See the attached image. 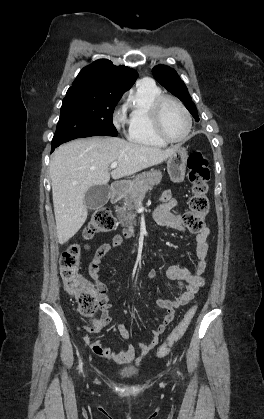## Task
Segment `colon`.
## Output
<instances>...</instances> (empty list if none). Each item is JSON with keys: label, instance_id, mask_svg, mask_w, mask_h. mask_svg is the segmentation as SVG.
<instances>
[{"label": "colon", "instance_id": "colon-1", "mask_svg": "<svg viewBox=\"0 0 264 419\" xmlns=\"http://www.w3.org/2000/svg\"><path fill=\"white\" fill-rule=\"evenodd\" d=\"M188 180L191 184V196L189 198V210L182 216V222L191 232H199L204 227V218L209 211V169L204 156L196 151L193 152L187 162ZM115 228V219L108 209H99L91 217L84 230L86 238H91L97 233L110 232ZM80 250L73 245L65 250L60 258V272L65 290L72 295L78 305L81 315L93 319L100 307V301L96 290L79 272ZM196 307H191L175 327L167 340L158 348L157 357L163 358L169 354L171 348L186 333L191 320L195 314ZM95 320L89 326L90 330L95 328Z\"/></svg>", "mask_w": 264, "mask_h": 419}]
</instances>
